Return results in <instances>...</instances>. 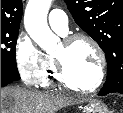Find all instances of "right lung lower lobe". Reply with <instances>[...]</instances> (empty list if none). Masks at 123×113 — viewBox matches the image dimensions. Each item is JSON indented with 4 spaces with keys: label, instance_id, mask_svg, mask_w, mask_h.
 Here are the masks:
<instances>
[{
    "label": "right lung lower lobe",
    "instance_id": "1",
    "mask_svg": "<svg viewBox=\"0 0 123 113\" xmlns=\"http://www.w3.org/2000/svg\"><path fill=\"white\" fill-rule=\"evenodd\" d=\"M6 85H8V83H1V87Z\"/></svg>",
    "mask_w": 123,
    "mask_h": 113
}]
</instances>
